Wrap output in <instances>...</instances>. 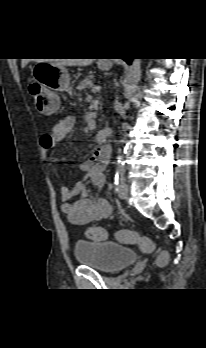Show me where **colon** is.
<instances>
[{"label": "colon", "mask_w": 206, "mask_h": 348, "mask_svg": "<svg viewBox=\"0 0 206 348\" xmlns=\"http://www.w3.org/2000/svg\"><path fill=\"white\" fill-rule=\"evenodd\" d=\"M28 92L33 98L36 106L43 110H53L55 105L48 104L44 101V93L40 84L37 82H30L28 84ZM87 236L94 241H104L107 239V231L103 227L93 226L87 230ZM115 239L120 243L133 244L138 246L143 252H152L154 250V244L148 238L140 235L136 231L120 229L114 234ZM169 256L166 252H162L157 258V264L165 265L168 262Z\"/></svg>", "instance_id": "obj_1"}]
</instances>
